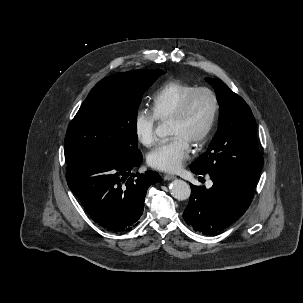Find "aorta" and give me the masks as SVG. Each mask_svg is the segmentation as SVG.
Returning a JSON list of instances; mask_svg holds the SVG:
<instances>
[{"label":"aorta","mask_w":303,"mask_h":303,"mask_svg":"<svg viewBox=\"0 0 303 303\" xmlns=\"http://www.w3.org/2000/svg\"><path fill=\"white\" fill-rule=\"evenodd\" d=\"M158 137L163 138L169 135V129L166 124H159L155 130ZM170 194L177 200H186L190 197L191 189L188 183L176 179L170 184Z\"/></svg>","instance_id":"1"}]
</instances>
